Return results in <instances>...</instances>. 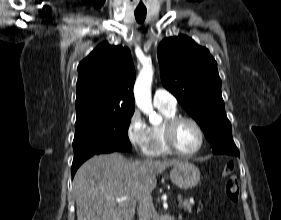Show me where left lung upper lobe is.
<instances>
[{
  "label": "left lung upper lobe",
  "instance_id": "obj_1",
  "mask_svg": "<svg viewBox=\"0 0 281 220\" xmlns=\"http://www.w3.org/2000/svg\"><path fill=\"white\" fill-rule=\"evenodd\" d=\"M161 81L199 123L214 154L238 149L224 108L217 63L209 50L185 36L169 37L158 46Z\"/></svg>",
  "mask_w": 281,
  "mask_h": 220
}]
</instances>
